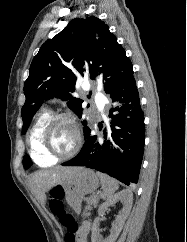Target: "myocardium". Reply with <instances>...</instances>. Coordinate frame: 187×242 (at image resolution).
<instances>
[{
	"label": "myocardium",
	"instance_id": "obj_1",
	"mask_svg": "<svg viewBox=\"0 0 187 242\" xmlns=\"http://www.w3.org/2000/svg\"><path fill=\"white\" fill-rule=\"evenodd\" d=\"M58 122H66V123L70 124L75 133V144H74L73 148L69 152L64 153V154L54 153L50 150V148L48 146L49 134H50L52 128ZM40 146H41L43 153L47 157L53 158L55 160H65V159H69V158L73 157L74 155H76L82 146V134H81L80 128H79L76 120L72 116H70L69 114H66V113H59V114L51 116L48 119L47 123L45 124V126L41 132Z\"/></svg>",
	"mask_w": 187,
	"mask_h": 242
}]
</instances>
